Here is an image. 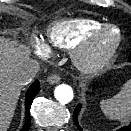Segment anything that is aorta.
I'll use <instances>...</instances> for the list:
<instances>
[{
	"mask_svg": "<svg viewBox=\"0 0 131 131\" xmlns=\"http://www.w3.org/2000/svg\"><path fill=\"white\" fill-rule=\"evenodd\" d=\"M54 96L61 104H67L73 100V90L69 85L60 84L54 90Z\"/></svg>",
	"mask_w": 131,
	"mask_h": 131,
	"instance_id": "1",
	"label": "aorta"
}]
</instances>
